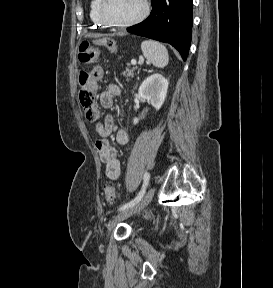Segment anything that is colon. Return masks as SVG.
<instances>
[{"mask_svg": "<svg viewBox=\"0 0 273 288\" xmlns=\"http://www.w3.org/2000/svg\"><path fill=\"white\" fill-rule=\"evenodd\" d=\"M106 48L115 52L116 45L113 40L105 41ZM99 51L89 42H82L79 48V60L84 64H90L98 61ZM102 76V68L97 65L90 71H81L79 74V102L84 111L85 117L89 121L98 118V110L96 105V85L95 82ZM105 198L109 204L116 201V191L111 185L105 187Z\"/></svg>", "mask_w": 273, "mask_h": 288, "instance_id": "obj_1", "label": "colon"}]
</instances>
